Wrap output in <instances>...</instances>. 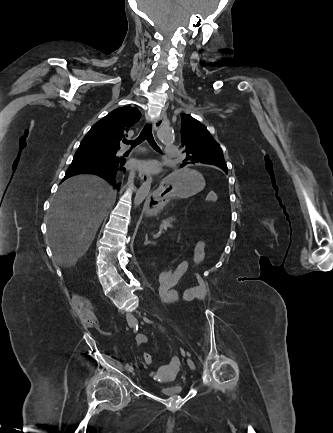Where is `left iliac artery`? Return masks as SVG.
Returning a JSON list of instances; mask_svg holds the SVG:
<instances>
[{
	"label": "left iliac artery",
	"mask_w": 333,
	"mask_h": 433,
	"mask_svg": "<svg viewBox=\"0 0 333 433\" xmlns=\"http://www.w3.org/2000/svg\"><path fill=\"white\" fill-rule=\"evenodd\" d=\"M143 319H144V321H146L147 323H151V321H150L148 318L144 317ZM182 352H183V353H186L188 356H190V353H189V352H185L184 350H182Z\"/></svg>",
	"instance_id": "obj_1"
}]
</instances>
